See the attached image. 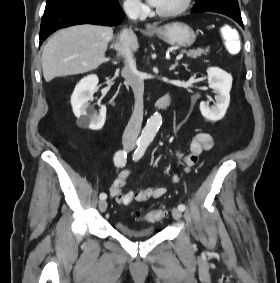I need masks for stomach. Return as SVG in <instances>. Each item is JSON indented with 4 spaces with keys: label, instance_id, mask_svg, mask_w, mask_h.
<instances>
[{
    "label": "stomach",
    "instance_id": "1",
    "mask_svg": "<svg viewBox=\"0 0 280 283\" xmlns=\"http://www.w3.org/2000/svg\"><path fill=\"white\" fill-rule=\"evenodd\" d=\"M153 33L168 44L181 47H189L196 40L194 30L187 24L181 22H173L161 27H156L153 29Z\"/></svg>",
    "mask_w": 280,
    "mask_h": 283
}]
</instances>
